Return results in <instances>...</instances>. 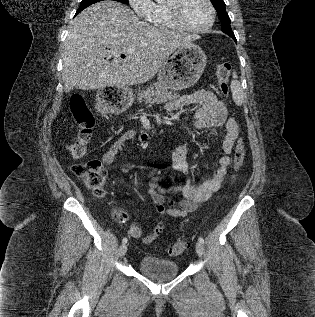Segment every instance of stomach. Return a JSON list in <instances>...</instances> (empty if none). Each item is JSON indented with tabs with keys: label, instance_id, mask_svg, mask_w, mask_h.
I'll return each instance as SVG.
<instances>
[{
	"label": "stomach",
	"instance_id": "obj_1",
	"mask_svg": "<svg viewBox=\"0 0 315 317\" xmlns=\"http://www.w3.org/2000/svg\"><path fill=\"white\" fill-rule=\"evenodd\" d=\"M206 55L196 44L190 43L178 48L158 72V83L172 90L186 89L194 85L204 72ZM100 95H127V97H103L106 111L113 114H128L139 98L126 88V84H115V88H100Z\"/></svg>",
	"mask_w": 315,
	"mask_h": 317
}]
</instances>
